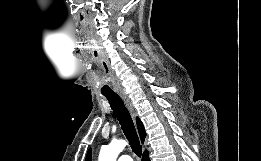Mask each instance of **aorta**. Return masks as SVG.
Listing matches in <instances>:
<instances>
[{
    "label": "aorta",
    "mask_w": 261,
    "mask_h": 161,
    "mask_svg": "<svg viewBox=\"0 0 261 161\" xmlns=\"http://www.w3.org/2000/svg\"><path fill=\"white\" fill-rule=\"evenodd\" d=\"M124 140H114L109 145L101 147L98 161H116L119 153L125 148Z\"/></svg>",
    "instance_id": "aorta-1"
}]
</instances>
